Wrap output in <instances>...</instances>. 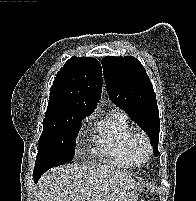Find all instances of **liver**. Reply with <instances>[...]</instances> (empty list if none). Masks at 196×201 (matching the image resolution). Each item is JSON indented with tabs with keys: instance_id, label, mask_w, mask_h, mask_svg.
Wrapping results in <instances>:
<instances>
[{
	"instance_id": "6515ba94",
	"label": "liver",
	"mask_w": 196,
	"mask_h": 201,
	"mask_svg": "<svg viewBox=\"0 0 196 201\" xmlns=\"http://www.w3.org/2000/svg\"><path fill=\"white\" fill-rule=\"evenodd\" d=\"M139 183L110 164H67L38 181V201H124Z\"/></svg>"
}]
</instances>
